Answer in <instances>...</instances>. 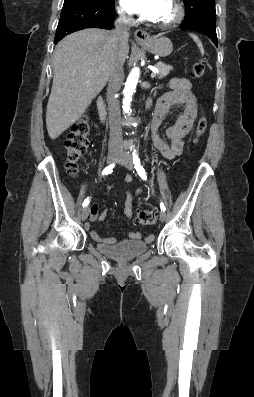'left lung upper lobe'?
<instances>
[{"label":"left lung upper lobe","instance_id":"left-lung-upper-lobe-1","mask_svg":"<svg viewBox=\"0 0 254 397\" xmlns=\"http://www.w3.org/2000/svg\"><path fill=\"white\" fill-rule=\"evenodd\" d=\"M191 0H183L185 6L188 5L190 3ZM208 2L205 3V5L203 6H209L211 4H215V0H207Z\"/></svg>","mask_w":254,"mask_h":397}]
</instances>
